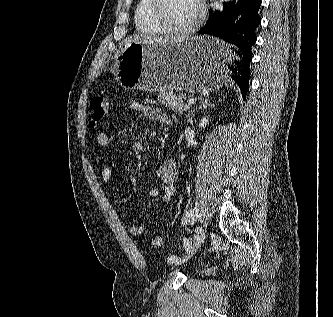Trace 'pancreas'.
Here are the masks:
<instances>
[{
    "label": "pancreas",
    "instance_id": "pancreas-1",
    "mask_svg": "<svg viewBox=\"0 0 333 317\" xmlns=\"http://www.w3.org/2000/svg\"><path fill=\"white\" fill-rule=\"evenodd\" d=\"M157 100L180 115L189 109V105L183 101V96H175L171 91L161 92L158 95Z\"/></svg>",
    "mask_w": 333,
    "mask_h": 317
}]
</instances>
